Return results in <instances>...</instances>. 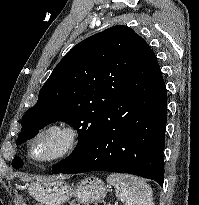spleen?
<instances>
[{
  "label": "spleen",
  "instance_id": "spleen-1",
  "mask_svg": "<svg viewBox=\"0 0 199 205\" xmlns=\"http://www.w3.org/2000/svg\"><path fill=\"white\" fill-rule=\"evenodd\" d=\"M107 182L116 189V196L125 205H153L152 189L141 178L128 174L112 173Z\"/></svg>",
  "mask_w": 199,
  "mask_h": 205
}]
</instances>
